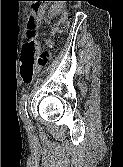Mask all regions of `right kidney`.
<instances>
[{"mask_svg": "<svg viewBox=\"0 0 123 167\" xmlns=\"http://www.w3.org/2000/svg\"><path fill=\"white\" fill-rule=\"evenodd\" d=\"M59 3H64V2H60V1L54 2L50 8L49 13H51L53 15L60 13L61 7L59 6Z\"/></svg>", "mask_w": 123, "mask_h": 167, "instance_id": "1", "label": "right kidney"}]
</instances>
